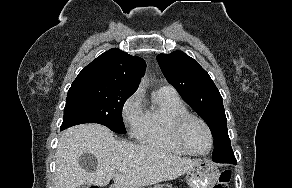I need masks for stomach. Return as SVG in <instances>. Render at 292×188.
Instances as JSON below:
<instances>
[{
  "mask_svg": "<svg viewBox=\"0 0 292 188\" xmlns=\"http://www.w3.org/2000/svg\"><path fill=\"white\" fill-rule=\"evenodd\" d=\"M219 176L218 166L204 159L186 172V182L190 188H213Z\"/></svg>",
  "mask_w": 292,
  "mask_h": 188,
  "instance_id": "0dacf381",
  "label": "stomach"
}]
</instances>
